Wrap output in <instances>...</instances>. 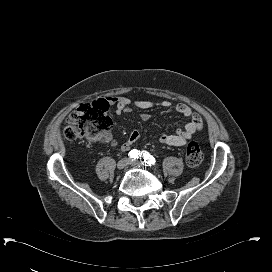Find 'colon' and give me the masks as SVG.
Returning <instances> with one entry per match:
<instances>
[{"label":"colon","mask_w":272,"mask_h":272,"mask_svg":"<svg viewBox=\"0 0 272 272\" xmlns=\"http://www.w3.org/2000/svg\"><path fill=\"white\" fill-rule=\"evenodd\" d=\"M109 108L107 100H98L77 107L65 120L63 138L66 141L84 138L89 142H97L111 126ZM202 159L203 154L199 145L195 142L190 143L186 150L188 166L197 168Z\"/></svg>","instance_id":"colon-1"}]
</instances>
